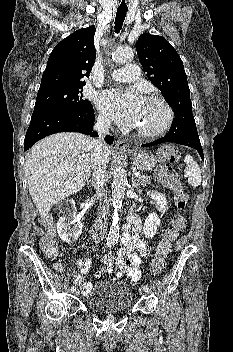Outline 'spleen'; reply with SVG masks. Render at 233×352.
<instances>
[{
  "label": "spleen",
  "mask_w": 233,
  "mask_h": 352,
  "mask_svg": "<svg viewBox=\"0 0 233 352\" xmlns=\"http://www.w3.org/2000/svg\"><path fill=\"white\" fill-rule=\"evenodd\" d=\"M184 162L186 163L185 175L188 177V183L192 187H198L201 184V170L191 155H186Z\"/></svg>",
  "instance_id": "spleen-1"
}]
</instances>
